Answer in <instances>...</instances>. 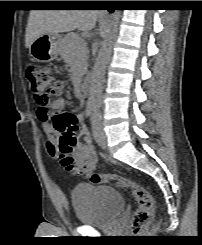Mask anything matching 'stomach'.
Here are the masks:
<instances>
[{
  "instance_id": "stomach-1",
  "label": "stomach",
  "mask_w": 202,
  "mask_h": 245,
  "mask_svg": "<svg viewBox=\"0 0 202 245\" xmlns=\"http://www.w3.org/2000/svg\"><path fill=\"white\" fill-rule=\"evenodd\" d=\"M62 40L59 34H43L32 42L29 53L38 62H50L58 56Z\"/></svg>"
}]
</instances>
